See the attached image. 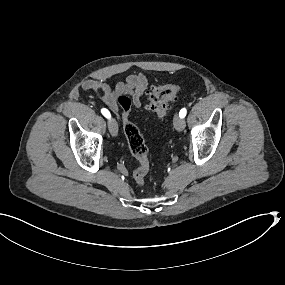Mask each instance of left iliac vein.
I'll return each instance as SVG.
<instances>
[{
  "mask_svg": "<svg viewBox=\"0 0 285 285\" xmlns=\"http://www.w3.org/2000/svg\"><path fill=\"white\" fill-rule=\"evenodd\" d=\"M173 124L177 131H183L185 128V120L178 115L174 116Z\"/></svg>",
  "mask_w": 285,
  "mask_h": 285,
  "instance_id": "4c4485c4",
  "label": "left iliac vein"
}]
</instances>
